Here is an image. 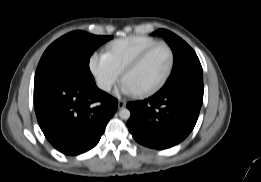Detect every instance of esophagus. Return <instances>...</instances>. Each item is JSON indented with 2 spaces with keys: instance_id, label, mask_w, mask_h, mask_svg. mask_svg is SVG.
<instances>
[{
  "instance_id": "1",
  "label": "esophagus",
  "mask_w": 261,
  "mask_h": 182,
  "mask_svg": "<svg viewBox=\"0 0 261 182\" xmlns=\"http://www.w3.org/2000/svg\"><path fill=\"white\" fill-rule=\"evenodd\" d=\"M126 106V102L124 100L118 101V109H122Z\"/></svg>"
}]
</instances>
